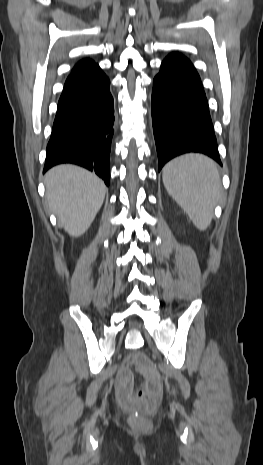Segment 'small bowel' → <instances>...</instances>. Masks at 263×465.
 <instances>
[{
	"label": "small bowel",
	"mask_w": 263,
	"mask_h": 465,
	"mask_svg": "<svg viewBox=\"0 0 263 465\" xmlns=\"http://www.w3.org/2000/svg\"><path fill=\"white\" fill-rule=\"evenodd\" d=\"M134 363V361H131ZM150 379H155L152 376ZM117 396L123 404H131L136 401V397L133 394V373L130 366H124L118 375L117 380Z\"/></svg>",
	"instance_id": "c3829d8e"
}]
</instances>
